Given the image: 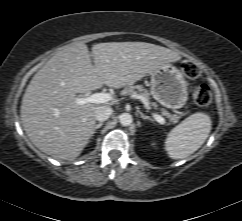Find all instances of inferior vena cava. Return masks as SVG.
Segmentation results:
<instances>
[{
  "label": "inferior vena cava",
  "mask_w": 242,
  "mask_h": 221,
  "mask_svg": "<svg viewBox=\"0 0 242 221\" xmlns=\"http://www.w3.org/2000/svg\"><path fill=\"white\" fill-rule=\"evenodd\" d=\"M113 113V110L109 107L99 106L95 110V119L97 121H106Z\"/></svg>",
  "instance_id": "602c4592"
}]
</instances>
